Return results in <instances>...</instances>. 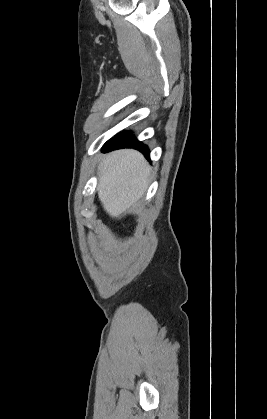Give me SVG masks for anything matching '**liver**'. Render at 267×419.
<instances>
[{"instance_id": "liver-1", "label": "liver", "mask_w": 267, "mask_h": 419, "mask_svg": "<svg viewBox=\"0 0 267 419\" xmlns=\"http://www.w3.org/2000/svg\"><path fill=\"white\" fill-rule=\"evenodd\" d=\"M98 197L104 210L118 218L133 206L148 187L150 166L133 149L109 153L99 164Z\"/></svg>"}]
</instances>
